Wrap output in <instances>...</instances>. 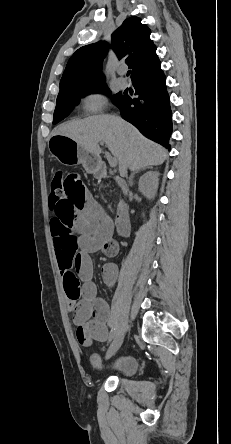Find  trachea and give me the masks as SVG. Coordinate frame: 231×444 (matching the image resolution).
<instances>
[{"instance_id": "1", "label": "trachea", "mask_w": 231, "mask_h": 444, "mask_svg": "<svg viewBox=\"0 0 231 444\" xmlns=\"http://www.w3.org/2000/svg\"><path fill=\"white\" fill-rule=\"evenodd\" d=\"M130 73H131V71L129 70V71L127 72V76H129V75H130Z\"/></svg>"}]
</instances>
